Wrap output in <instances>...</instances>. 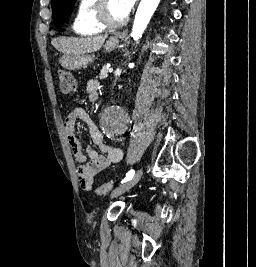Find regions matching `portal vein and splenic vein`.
Returning <instances> with one entry per match:
<instances>
[{"instance_id": "1", "label": "portal vein and splenic vein", "mask_w": 256, "mask_h": 267, "mask_svg": "<svg viewBox=\"0 0 256 267\" xmlns=\"http://www.w3.org/2000/svg\"><path fill=\"white\" fill-rule=\"evenodd\" d=\"M108 71H113V68H108Z\"/></svg>"}]
</instances>
